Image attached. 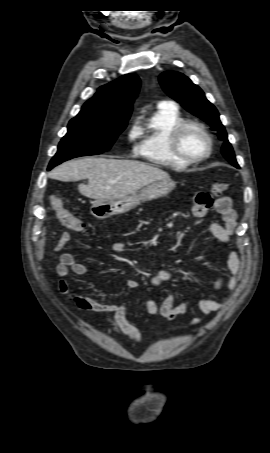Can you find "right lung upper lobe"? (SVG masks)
Returning <instances> with one entry per match:
<instances>
[{
	"label": "right lung upper lobe",
	"mask_w": 270,
	"mask_h": 453,
	"mask_svg": "<svg viewBox=\"0 0 270 453\" xmlns=\"http://www.w3.org/2000/svg\"><path fill=\"white\" fill-rule=\"evenodd\" d=\"M139 88V77L126 74L100 87L76 117H92L111 123L127 124Z\"/></svg>",
	"instance_id": "cb5924a9"
}]
</instances>
